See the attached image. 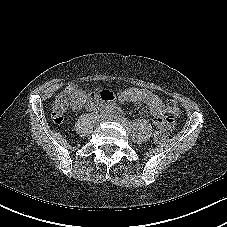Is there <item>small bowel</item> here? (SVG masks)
<instances>
[{"instance_id":"1","label":"small bowel","mask_w":227,"mask_h":227,"mask_svg":"<svg viewBox=\"0 0 227 227\" xmlns=\"http://www.w3.org/2000/svg\"><path fill=\"white\" fill-rule=\"evenodd\" d=\"M122 102H141L150 110L153 123L158 127H171L170 120L165 115V107L162 100L153 92L141 88H128L119 96Z\"/></svg>"}]
</instances>
